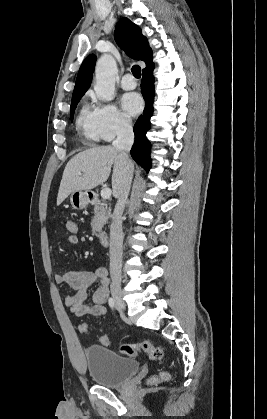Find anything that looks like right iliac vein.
Returning a JSON list of instances; mask_svg holds the SVG:
<instances>
[{
  "instance_id": "obj_1",
  "label": "right iliac vein",
  "mask_w": 267,
  "mask_h": 419,
  "mask_svg": "<svg viewBox=\"0 0 267 419\" xmlns=\"http://www.w3.org/2000/svg\"><path fill=\"white\" fill-rule=\"evenodd\" d=\"M114 302L116 304V307L120 310V311H125V303L122 300V296L121 293L119 291H114L112 293Z\"/></svg>"
}]
</instances>
